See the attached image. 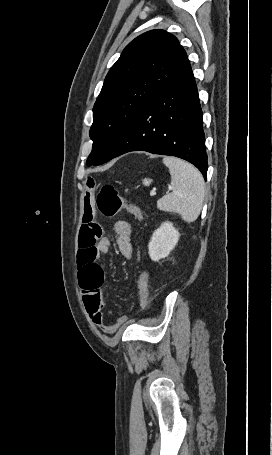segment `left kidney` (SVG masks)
<instances>
[{
	"instance_id": "5707ae66",
	"label": "left kidney",
	"mask_w": 272,
	"mask_h": 455,
	"mask_svg": "<svg viewBox=\"0 0 272 455\" xmlns=\"http://www.w3.org/2000/svg\"><path fill=\"white\" fill-rule=\"evenodd\" d=\"M180 234L171 222H164L153 233L148 245L149 256L153 261L167 257L176 246Z\"/></svg>"
}]
</instances>
